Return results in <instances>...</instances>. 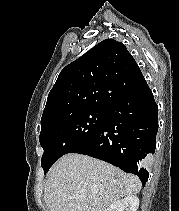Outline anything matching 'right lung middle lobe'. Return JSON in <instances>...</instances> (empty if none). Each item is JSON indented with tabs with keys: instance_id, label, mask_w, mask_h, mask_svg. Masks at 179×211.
<instances>
[{
	"instance_id": "dd1d6c3e",
	"label": "right lung middle lobe",
	"mask_w": 179,
	"mask_h": 211,
	"mask_svg": "<svg viewBox=\"0 0 179 211\" xmlns=\"http://www.w3.org/2000/svg\"><path fill=\"white\" fill-rule=\"evenodd\" d=\"M109 108H91L53 120L41 128L44 174L61 156L89 141L104 123Z\"/></svg>"
}]
</instances>
